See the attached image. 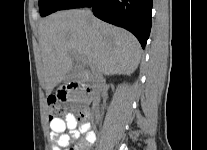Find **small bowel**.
Segmentation results:
<instances>
[{
    "instance_id": "small-bowel-1",
    "label": "small bowel",
    "mask_w": 207,
    "mask_h": 150,
    "mask_svg": "<svg viewBox=\"0 0 207 150\" xmlns=\"http://www.w3.org/2000/svg\"><path fill=\"white\" fill-rule=\"evenodd\" d=\"M50 137L53 141L52 150H91L96 135L87 121H78L74 114L68 113L64 118L50 120ZM66 130L71 135L65 133ZM72 139L77 142L71 146Z\"/></svg>"
}]
</instances>
